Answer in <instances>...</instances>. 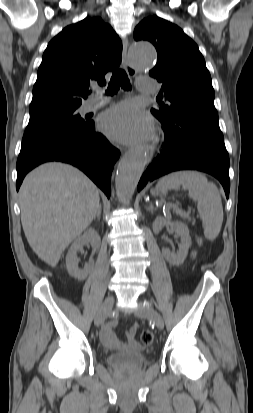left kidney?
<instances>
[{
    "mask_svg": "<svg viewBox=\"0 0 253 413\" xmlns=\"http://www.w3.org/2000/svg\"><path fill=\"white\" fill-rule=\"evenodd\" d=\"M164 226H169L171 230L176 232L181 238V243L176 254L170 252L168 249H163L162 253L166 261L170 264L175 266L181 265L186 259L188 250L191 246L189 229L186 224L182 222H171L162 217H157L153 222V231L159 233Z\"/></svg>",
    "mask_w": 253,
    "mask_h": 413,
    "instance_id": "1",
    "label": "left kidney"
}]
</instances>
